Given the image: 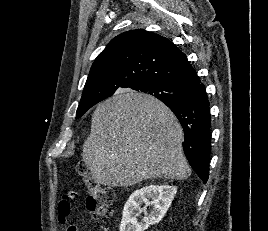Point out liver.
I'll list each match as a JSON object with an SVG mask.
<instances>
[{
  "label": "liver",
  "mask_w": 268,
  "mask_h": 231,
  "mask_svg": "<svg viewBox=\"0 0 268 231\" xmlns=\"http://www.w3.org/2000/svg\"><path fill=\"white\" fill-rule=\"evenodd\" d=\"M183 130L158 99L121 90L98 104L82 159L96 183L127 187L154 178L184 180L191 174Z\"/></svg>",
  "instance_id": "obj_1"
}]
</instances>
